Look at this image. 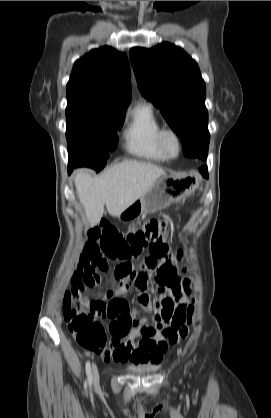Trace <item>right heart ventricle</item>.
<instances>
[{
	"label": "right heart ventricle",
	"mask_w": 271,
	"mask_h": 418,
	"mask_svg": "<svg viewBox=\"0 0 271 418\" xmlns=\"http://www.w3.org/2000/svg\"><path fill=\"white\" fill-rule=\"evenodd\" d=\"M162 129L152 107L138 106L131 113L124 131L125 149L130 154L154 162H164L168 157L161 151L157 136Z\"/></svg>",
	"instance_id": "e07e8e85"
}]
</instances>
